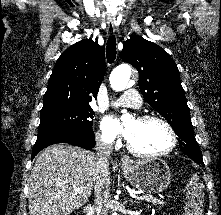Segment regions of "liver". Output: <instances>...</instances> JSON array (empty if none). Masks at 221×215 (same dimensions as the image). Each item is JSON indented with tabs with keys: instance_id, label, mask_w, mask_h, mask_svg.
<instances>
[{
	"instance_id": "6515ba94",
	"label": "liver",
	"mask_w": 221,
	"mask_h": 215,
	"mask_svg": "<svg viewBox=\"0 0 221 215\" xmlns=\"http://www.w3.org/2000/svg\"><path fill=\"white\" fill-rule=\"evenodd\" d=\"M96 166L94 152L69 144L45 148L29 177L30 215H69L82 207L94 188ZM75 188L83 193H76Z\"/></svg>"
}]
</instances>
